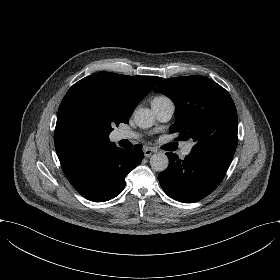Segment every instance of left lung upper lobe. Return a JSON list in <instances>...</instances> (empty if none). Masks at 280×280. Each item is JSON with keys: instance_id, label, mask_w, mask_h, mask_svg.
<instances>
[{"instance_id": "obj_1", "label": "left lung upper lobe", "mask_w": 280, "mask_h": 280, "mask_svg": "<svg viewBox=\"0 0 280 280\" xmlns=\"http://www.w3.org/2000/svg\"><path fill=\"white\" fill-rule=\"evenodd\" d=\"M175 104L171 133L178 140L192 139V150L213 151L234 156L238 137V117L230 94L204 76L165 79L154 89Z\"/></svg>"}]
</instances>
